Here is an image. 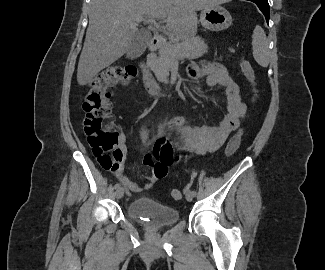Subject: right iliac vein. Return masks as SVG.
<instances>
[{
  "label": "right iliac vein",
  "mask_w": 325,
  "mask_h": 270,
  "mask_svg": "<svg viewBox=\"0 0 325 270\" xmlns=\"http://www.w3.org/2000/svg\"><path fill=\"white\" fill-rule=\"evenodd\" d=\"M124 195V189L122 187L118 188L115 192V196L117 199L122 198Z\"/></svg>",
  "instance_id": "obj_1"
}]
</instances>
